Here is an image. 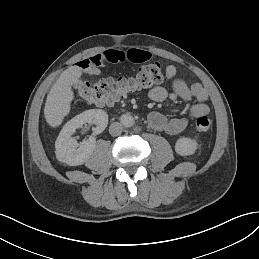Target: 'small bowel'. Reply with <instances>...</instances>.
<instances>
[{"instance_id": "small-bowel-1", "label": "small bowel", "mask_w": 259, "mask_h": 259, "mask_svg": "<svg viewBox=\"0 0 259 259\" xmlns=\"http://www.w3.org/2000/svg\"><path fill=\"white\" fill-rule=\"evenodd\" d=\"M150 58L151 54L149 52L139 49L107 50L81 60L77 63V66L86 73L99 76L102 73L100 68L105 64L125 61L142 63L150 60ZM165 76L171 85V90L163 86L153 87L149 91V96L152 100L157 102H162L166 99L172 101L179 99L184 101L196 100V104L192 105L181 117L169 118L157 111H153L148 115V123L152 129L175 135L183 131L194 118L208 114V93L201 84L188 85L184 80L177 77V69L174 65L166 67Z\"/></svg>"}]
</instances>
